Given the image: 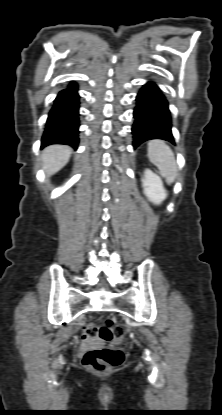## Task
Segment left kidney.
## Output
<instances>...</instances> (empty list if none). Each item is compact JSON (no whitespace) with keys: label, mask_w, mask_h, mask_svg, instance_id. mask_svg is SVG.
Wrapping results in <instances>:
<instances>
[{"label":"left kidney","mask_w":222,"mask_h":415,"mask_svg":"<svg viewBox=\"0 0 222 415\" xmlns=\"http://www.w3.org/2000/svg\"><path fill=\"white\" fill-rule=\"evenodd\" d=\"M142 186L145 196L156 205L161 204L167 197V191L163 186L161 178L149 169L144 171Z\"/></svg>","instance_id":"1"}]
</instances>
